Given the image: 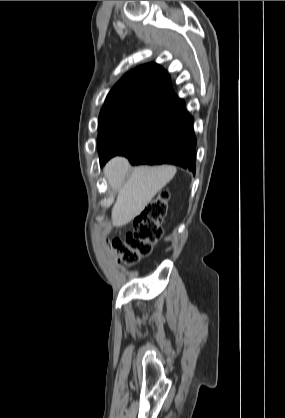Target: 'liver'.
Listing matches in <instances>:
<instances>
[{
    "label": "liver",
    "instance_id": "6515ba94",
    "mask_svg": "<svg viewBox=\"0 0 285 418\" xmlns=\"http://www.w3.org/2000/svg\"><path fill=\"white\" fill-rule=\"evenodd\" d=\"M130 170L125 157L116 156L104 167L109 186L117 192L112 208V221L116 226H124L141 214L153 197L174 177L176 167L139 166Z\"/></svg>",
    "mask_w": 285,
    "mask_h": 418
}]
</instances>
